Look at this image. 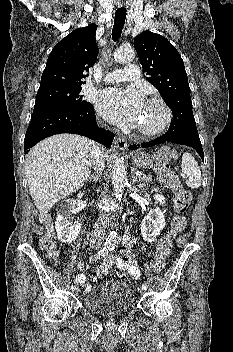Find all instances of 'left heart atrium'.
Returning <instances> with one entry per match:
<instances>
[{
  "mask_svg": "<svg viewBox=\"0 0 233 352\" xmlns=\"http://www.w3.org/2000/svg\"><path fill=\"white\" fill-rule=\"evenodd\" d=\"M144 98L136 88H109L100 92L96 99L98 111L119 126H137Z\"/></svg>",
  "mask_w": 233,
  "mask_h": 352,
  "instance_id": "1",
  "label": "left heart atrium"
}]
</instances>
